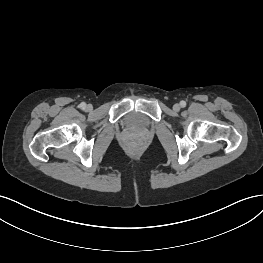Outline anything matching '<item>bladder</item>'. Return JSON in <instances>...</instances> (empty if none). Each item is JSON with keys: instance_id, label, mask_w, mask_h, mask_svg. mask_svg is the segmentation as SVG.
Here are the masks:
<instances>
[{"instance_id": "obj_1", "label": "bladder", "mask_w": 263, "mask_h": 263, "mask_svg": "<svg viewBox=\"0 0 263 263\" xmlns=\"http://www.w3.org/2000/svg\"><path fill=\"white\" fill-rule=\"evenodd\" d=\"M150 120L141 113L132 112L124 118V124L131 128H145L149 125Z\"/></svg>"}]
</instances>
